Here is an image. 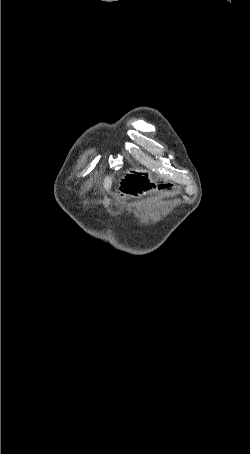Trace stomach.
I'll return each instance as SVG.
<instances>
[{"instance_id": "obj_1", "label": "stomach", "mask_w": 250, "mask_h": 454, "mask_svg": "<svg viewBox=\"0 0 250 454\" xmlns=\"http://www.w3.org/2000/svg\"><path fill=\"white\" fill-rule=\"evenodd\" d=\"M124 176H151V175L143 170L132 169V170L127 171ZM119 184H121V183H119ZM151 184H153V183H151Z\"/></svg>"}]
</instances>
